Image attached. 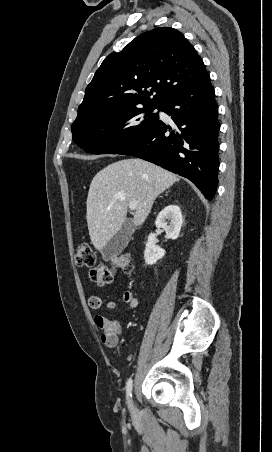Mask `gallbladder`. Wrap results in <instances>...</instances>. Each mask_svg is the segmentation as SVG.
Masks as SVG:
<instances>
[{
    "label": "gallbladder",
    "mask_w": 272,
    "mask_h": 452,
    "mask_svg": "<svg viewBox=\"0 0 272 452\" xmlns=\"http://www.w3.org/2000/svg\"><path fill=\"white\" fill-rule=\"evenodd\" d=\"M134 230L135 225L132 219H127L122 224L120 230L102 248L101 254L103 260L109 261L113 257L119 255L128 245Z\"/></svg>",
    "instance_id": "1"
}]
</instances>
